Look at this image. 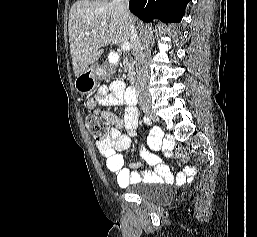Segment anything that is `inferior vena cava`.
<instances>
[{
	"instance_id": "1",
	"label": "inferior vena cava",
	"mask_w": 257,
	"mask_h": 237,
	"mask_svg": "<svg viewBox=\"0 0 257 237\" xmlns=\"http://www.w3.org/2000/svg\"><path fill=\"white\" fill-rule=\"evenodd\" d=\"M112 4L128 12V0H113ZM130 40L132 43V52L136 63V87L139 96V103L145 104L150 101V95L147 88L148 68L147 57L143 50L140 38L133 23L129 24Z\"/></svg>"
}]
</instances>
